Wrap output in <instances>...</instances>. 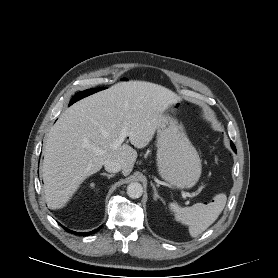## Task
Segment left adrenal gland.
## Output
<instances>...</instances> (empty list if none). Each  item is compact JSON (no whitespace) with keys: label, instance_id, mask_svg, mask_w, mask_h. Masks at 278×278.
<instances>
[{"label":"left adrenal gland","instance_id":"left-adrenal-gland-1","mask_svg":"<svg viewBox=\"0 0 278 278\" xmlns=\"http://www.w3.org/2000/svg\"><path fill=\"white\" fill-rule=\"evenodd\" d=\"M151 186H152L153 191H154V200L156 201L157 199H160L164 203L163 198L158 195V192H157V189H156L155 185L153 183H151Z\"/></svg>","mask_w":278,"mask_h":278}]
</instances>
